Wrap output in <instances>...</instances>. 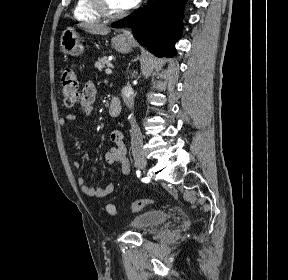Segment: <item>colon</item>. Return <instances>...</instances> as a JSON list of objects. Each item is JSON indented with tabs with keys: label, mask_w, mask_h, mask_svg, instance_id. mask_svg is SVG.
<instances>
[{
	"label": "colon",
	"mask_w": 288,
	"mask_h": 280,
	"mask_svg": "<svg viewBox=\"0 0 288 280\" xmlns=\"http://www.w3.org/2000/svg\"><path fill=\"white\" fill-rule=\"evenodd\" d=\"M79 81L76 72L68 68L64 70L62 74V90H63V100L67 107H73L79 101ZM153 200L144 199L138 200L132 203L131 210L137 212L143 208L151 205ZM106 211L110 216L116 215V207L113 204H108L106 206Z\"/></svg>",
	"instance_id": "colon-1"
}]
</instances>
